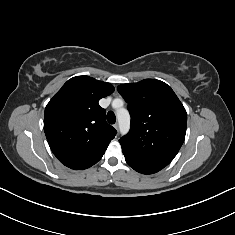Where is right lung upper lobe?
<instances>
[{
	"label": "right lung upper lobe",
	"mask_w": 235,
	"mask_h": 235,
	"mask_svg": "<svg viewBox=\"0 0 235 235\" xmlns=\"http://www.w3.org/2000/svg\"><path fill=\"white\" fill-rule=\"evenodd\" d=\"M110 83L89 76L68 80L45 108L44 130L57 159L71 169H87L105 153L117 131L98 101L113 93Z\"/></svg>",
	"instance_id": "cb5924a9"
}]
</instances>
